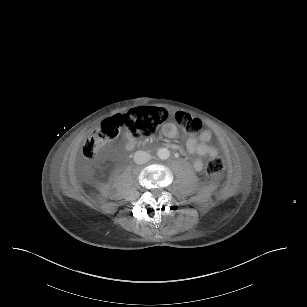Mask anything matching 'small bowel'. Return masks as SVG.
Returning a JSON list of instances; mask_svg holds the SVG:
<instances>
[{
  "label": "small bowel",
  "instance_id": "c3829d8e",
  "mask_svg": "<svg viewBox=\"0 0 307 307\" xmlns=\"http://www.w3.org/2000/svg\"><path fill=\"white\" fill-rule=\"evenodd\" d=\"M163 134L168 138H173L177 135V128L171 124L167 123L162 128ZM211 140V133L208 130H203L198 137H190L186 142V148L189 153L197 154L200 156H213L218 153L216 147L210 146L208 142ZM136 144V140L133 136L127 134V145L132 148ZM171 148L174 150H179L180 147L177 144H172ZM193 166L196 170L200 171L203 168V163L201 160L197 159L194 161Z\"/></svg>",
  "mask_w": 307,
  "mask_h": 307
}]
</instances>
